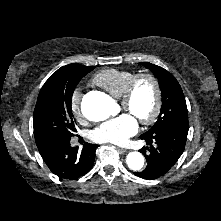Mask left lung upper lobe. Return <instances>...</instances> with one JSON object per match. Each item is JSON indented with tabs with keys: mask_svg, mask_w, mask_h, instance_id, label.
Here are the masks:
<instances>
[{
	"mask_svg": "<svg viewBox=\"0 0 221 221\" xmlns=\"http://www.w3.org/2000/svg\"><path fill=\"white\" fill-rule=\"evenodd\" d=\"M140 64L150 69L158 78L162 93V107L158 120L146 133H153L179 122L188 123L185 97L175 77L160 66L148 62H141Z\"/></svg>",
	"mask_w": 221,
	"mask_h": 221,
	"instance_id": "obj_1",
	"label": "left lung upper lobe"
}]
</instances>
